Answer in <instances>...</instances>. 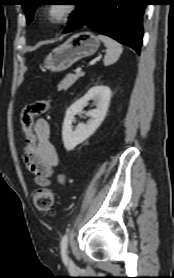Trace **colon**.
I'll return each instance as SVG.
<instances>
[{
  "label": "colon",
  "mask_w": 174,
  "mask_h": 278,
  "mask_svg": "<svg viewBox=\"0 0 174 278\" xmlns=\"http://www.w3.org/2000/svg\"><path fill=\"white\" fill-rule=\"evenodd\" d=\"M48 100L35 101L24 107L21 113V123L24 131L23 154L28 155L37 147V137L34 132V118L48 111ZM33 201L36 208L41 212H49L54 205L53 193L46 188H38L33 193Z\"/></svg>",
  "instance_id": "obj_1"
}]
</instances>
